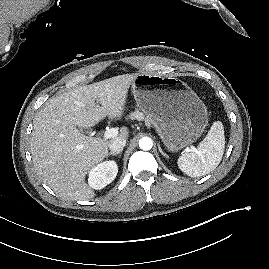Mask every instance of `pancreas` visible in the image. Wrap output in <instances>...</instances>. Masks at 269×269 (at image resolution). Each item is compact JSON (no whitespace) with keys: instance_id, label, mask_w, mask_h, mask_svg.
Segmentation results:
<instances>
[{"instance_id":"1","label":"pancreas","mask_w":269,"mask_h":269,"mask_svg":"<svg viewBox=\"0 0 269 269\" xmlns=\"http://www.w3.org/2000/svg\"><path fill=\"white\" fill-rule=\"evenodd\" d=\"M130 117H131V119H137V120L144 119V115L141 112H139V111H135L134 113H132L130 115Z\"/></svg>"}]
</instances>
